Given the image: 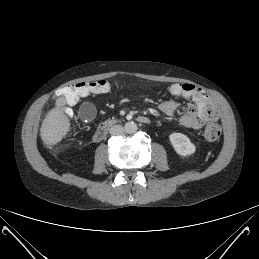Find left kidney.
Listing matches in <instances>:
<instances>
[{"mask_svg":"<svg viewBox=\"0 0 259 259\" xmlns=\"http://www.w3.org/2000/svg\"><path fill=\"white\" fill-rule=\"evenodd\" d=\"M169 140L175 150V152L180 156L192 155L196 147L190 141V139L182 133H172L169 136Z\"/></svg>","mask_w":259,"mask_h":259,"instance_id":"1","label":"left kidney"}]
</instances>
